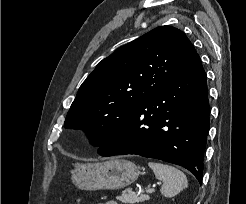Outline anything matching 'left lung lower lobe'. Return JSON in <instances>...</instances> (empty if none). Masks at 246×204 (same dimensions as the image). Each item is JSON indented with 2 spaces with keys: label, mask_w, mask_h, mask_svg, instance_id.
Instances as JSON below:
<instances>
[{
  "label": "left lung lower lobe",
  "mask_w": 246,
  "mask_h": 204,
  "mask_svg": "<svg viewBox=\"0 0 246 204\" xmlns=\"http://www.w3.org/2000/svg\"><path fill=\"white\" fill-rule=\"evenodd\" d=\"M209 114L206 73L195 53L124 118L98 154L160 159L188 169L201 183Z\"/></svg>",
  "instance_id": "left-lung-lower-lobe-1"
}]
</instances>
